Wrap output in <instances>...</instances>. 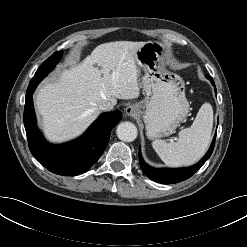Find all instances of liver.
Segmentation results:
<instances>
[{"mask_svg": "<svg viewBox=\"0 0 247 247\" xmlns=\"http://www.w3.org/2000/svg\"><path fill=\"white\" fill-rule=\"evenodd\" d=\"M145 42L115 41L98 45L82 62L42 86L35 99L45 137L62 143L82 135L103 103L140 95L136 52ZM97 65V67L95 66Z\"/></svg>", "mask_w": 247, "mask_h": 247, "instance_id": "obj_1", "label": "liver"}]
</instances>
